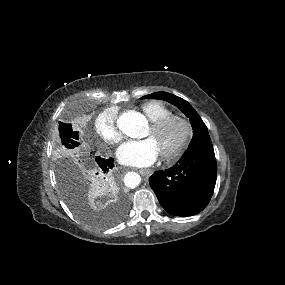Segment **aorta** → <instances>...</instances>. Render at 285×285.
<instances>
[{
    "label": "aorta",
    "mask_w": 285,
    "mask_h": 285,
    "mask_svg": "<svg viewBox=\"0 0 285 285\" xmlns=\"http://www.w3.org/2000/svg\"><path fill=\"white\" fill-rule=\"evenodd\" d=\"M147 126L146 118L137 111H127L118 119L119 129L131 138H141ZM125 185L130 188H135L141 182L139 174L129 172L124 179Z\"/></svg>",
    "instance_id": "aorta-1"
}]
</instances>
